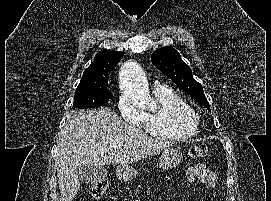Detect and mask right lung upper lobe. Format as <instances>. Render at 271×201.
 I'll use <instances>...</instances> for the list:
<instances>
[{
  "instance_id": "1",
  "label": "right lung upper lobe",
  "mask_w": 271,
  "mask_h": 201,
  "mask_svg": "<svg viewBox=\"0 0 271 201\" xmlns=\"http://www.w3.org/2000/svg\"><path fill=\"white\" fill-rule=\"evenodd\" d=\"M124 52L103 50L95 55L93 63L84 71L82 78L109 75L123 57Z\"/></svg>"
}]
</instances>
